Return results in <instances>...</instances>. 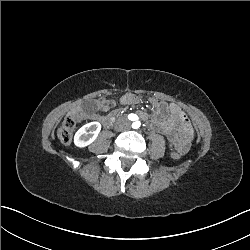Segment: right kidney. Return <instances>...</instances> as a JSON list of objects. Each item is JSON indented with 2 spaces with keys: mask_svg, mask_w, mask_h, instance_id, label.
Masks as SVG:
<instances>
[{
  "mask_svg": "<svg viewBox=\"0 0 250 250\" xmlns=\"http://www.w3.org/2000/svg\"><path fill=\"white\" fill-rule=\"evenodd\" d=\"M101 130L99 122H90L82 126L74 136V144L78 147H85L97 138Z\"/></svg>",
  "mask_w": 250,
  "mask_h": 250,
  "instance_id": "ca27d5eb",
  "label": "right kidney"
}]
</instances>
